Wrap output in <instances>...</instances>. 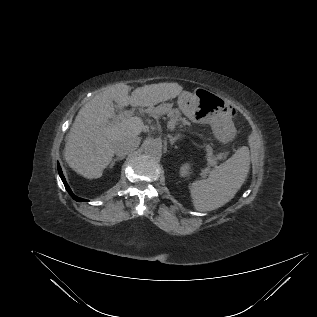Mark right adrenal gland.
Here are the masks:
<instances>
[{
  "label": "right adrenal gland",
  "instance_id": "1",
  "mask_svg": "<svg viewBox=\"0 0 317 317\" xmlns=\"http://www.w3.org/2000/svg\"><path fill=\"white\" fill-rule=\"evenodd\" d=\"M123 158H124V157H116V158H114V159L111 161L109 167L112 168V167L114 166L115 162L120 161V160H122Z\"/></svg>",
  "mask_w": 317,
  "mask_h": 317
}]
</instances>
